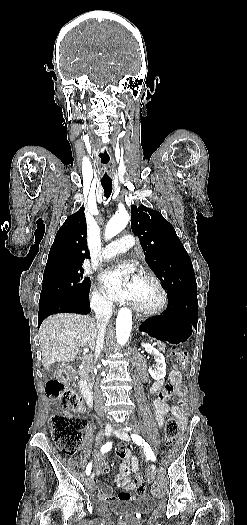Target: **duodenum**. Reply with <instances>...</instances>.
<instances>
[{
  "label": "duodenum",
  "mask_w": 247,
  "mask_h": 525,
  "mask_svg": "<svg viewBox=\"0 0 247 525\" xmlns=\"http://www.w3.org/2000/svg\"><path fill=\"white\" fill-rule=\"evenodd\" d=\"M69 366L73 374L78 378L79 388L86 404L89 407H92L94 403L93 391L90 382L85 377L86 365L84 360L81 358H77L73 360L69 364Z\"/></svg>",
  "instance_id": "duodenum-1"
}]
</instances>
